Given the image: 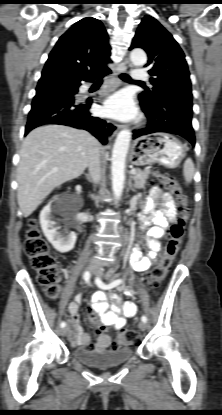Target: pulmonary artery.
<instances>
[{"instance_id":"e3ab8cb5","label":"pulmonary artery","mask_w":222,"mask_h":415,"mask_svg":"<svg viewBox=\"0 0 222 415\" xmlns=\"http://www.w3.org/2000/svg\"><path fill=\"white\" fill-rule=\"evenodd\" d=\"M132 77L134 81L144 82L148 80V72L145 69H134L132 72Z\"/></svg>"}]
</instances>
